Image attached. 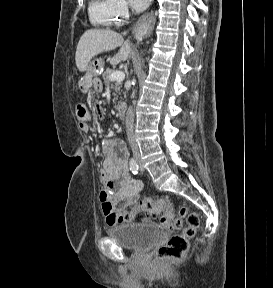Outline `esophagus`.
I'll return each instance as SVG.
<instances>
[{
    "instance_id": "34e87169",
    "label": "esophagus",
    "mask_w": 273,
    "mask_h": 288,
    "mask_svg": "<svg viewBox=\"0 0 273 288\" xmlns=\"http://www.w3.org/2000/svg\"><path fill=\"white\" fill-rule=\"evenodd\" d=\"M155 24L154 12L150 11L140 17L138 20V27L135 30V35L137 38H140L146 33L152 32Z\"/></svg>"
}]
</instances>
